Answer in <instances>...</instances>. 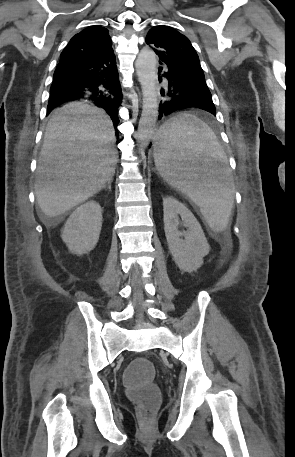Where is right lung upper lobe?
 Listing matches in <instances>:
<instances>
[{
	"mask_svg": "<svg viewBox=\"0 0 295 457\" xmlns=\"http://www.w3.org/2000/svg\"><path fill=\"white\" fill-rule=\"evenodd\" d=\"M112 49L108 30L91 26L73 36L60 55V62L87 60Z\"/></svg>",
	"mask_w": 295,
	"mask_h": 457,
	"instance_id": "obj_1",
	"label": "right lung upper lobe"
}]
</instances>
